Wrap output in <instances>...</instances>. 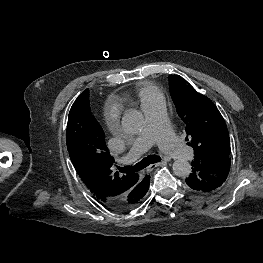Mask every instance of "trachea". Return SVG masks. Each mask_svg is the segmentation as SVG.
Returning a JSON list of instances; mask_svg holds the SVG:
<instances>
[{
	"label": "trachea",
	"mask_w": 263,
	"mask_h": 263,
	"mask_svg": "<svg viewBox=\"0 0 263 263\" xmlns=\"http://www.w3.org/2000/svg\"><path fill=\"white\" fill-rule=\"evenodd\" d=\"M161 161V157L157 155H149L145 158H143L140 162H138L134 166H125V167H118L120 172H126V173H132L140 171L150 164H154Z\"/></svg>",
	"instance_id": "trachea-1"
}]
</instances>
